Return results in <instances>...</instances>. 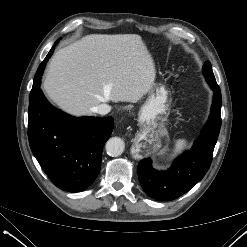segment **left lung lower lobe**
Instances as JSON below:
<instances>
[{
  "label": "left lung lower lobe",
  "instance_id": "obj_1",
  "mask_svg": "<svg viewBox=\"0 0 247 247\" xmlns=\"http://www.w3.org/2000/svg\"><path fill=\"white\" fill-rule=\"evenodd\" d=\"M214 91L209 119L191 150L178 157L171 168L157 171L150 159L138 165V177L144 191L158 201H170L183 195L198 183L208 171L221 127V91Z\"/></svg>",
  "mask_w": 247,
  "mask_h": 247
}]
</instances>
